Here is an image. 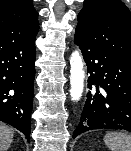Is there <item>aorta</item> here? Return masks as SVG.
Segmentation results:
<instances>
[{
  "mask_svg": "<svg viewBox=\"0 0 131 151\" xmlns=\"http://www.w3.org/2000/svg\"><path fill=\"white\" fill-rule=\"evenodd\" d=\"M70 85L72 100H80L84 90V71L82 58L78 51L73 52L70 57Z\"/></svg>",
  "mask_w": 131,
  "mask_h": 151,
  "instance_id": "aorta-1",
  "label": "aorta"
}]
</instances>
